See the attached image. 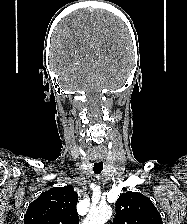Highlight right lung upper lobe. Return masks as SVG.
<instances>
[{"mask_svg":"<svg viewBox=\"0 0 187 224\" xmlns=\"http://www.w3.org/2000/svg\"><path fill=\"white\" fill-rule=\"evenodd\" d=\"M77 200L71 186L52 188L29 204L24 224H78Z\"/></svg>","mask_w":187,"mask_h":224,"instance_id":"obj_1","label":"right lung upper lobe"}]
</instances>
